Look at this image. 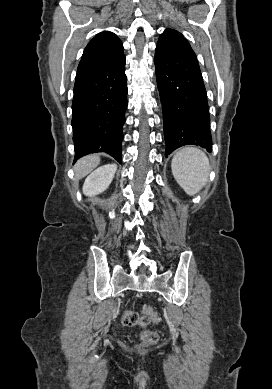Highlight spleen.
Segmentation results:
<instances>
[{
	"label": "spleen",
	"instance_id": "3e777b00",
	"mask_svg": "<svg viewBox=\"0 0 272 389\" xmlns=\"http://www.w3.org/2000/svg\"><path fill=\"white\" fill-rule=\"evenodd\" d=\"M171 169L177 183L192 196L206 184L210 165L207 156L200 149L185 147L174 155Z\"/></svg>",
	"mask_w": 272,
	"mask_h": 389
}]
</instances>
